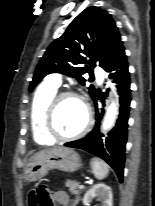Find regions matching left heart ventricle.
<instances>
[{
	"label": "left heart ventricle",
	"mask_w": 155,
	"mask_h": 206,
	"mask_svg": "<svg viewBox=\"0 0 155 206\" xmlns=\"http://www.w3.org/2000/svg\"><path fill=\"white\" fill-rule=\"evenodd\" d=\"M86 119L85 108L76 98H65L57 106L54 124L61 135H71L78 132Z\"/></svg>",
	"instance_id": "1"
}]
</instances>
